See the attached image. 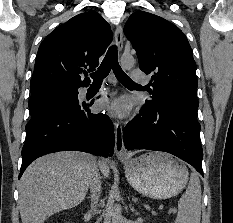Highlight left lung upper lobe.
<instances>
[{"label":"left lung upper lobe","instance_id":"1","mask_svg":"<svg viewBox=\"0 0 233 223\" xmlns=\"http://www.w3.org/2000/svg\"><path fill=\"white\" fill-rule=\"evenodd\" d=\"M136 50L140 69L152 75L153 91L147 110L197 111L196 63L183 32L169 21L144 11L133 13L124 27Z\"/></svg>","mask_w":233,"mask_h":223}]
</instances>
